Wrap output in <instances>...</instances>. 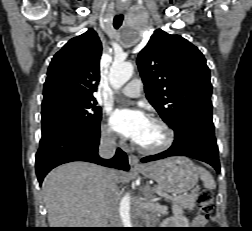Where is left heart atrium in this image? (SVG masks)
Listing matches in <instances>:
<instances>
[{
	"instance_id": "left-heart-atrium-1",
	"label": "left heart atrium",
	"mask_w": 252,
	"mask_h": 231,
	"mask_svg": "<svg viewBox=\"0 0 252 231\" xmlns=\"http://www.w3.org/2000/svg\"><path fill=\"white\" fill-rule=\"evenodd\" d=\"M150 122L146 113L140 109L123 108L116 110L110 119L113 129L126 138L138 142Z\"/></svg>"
}]
</instances>
